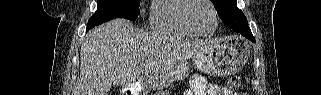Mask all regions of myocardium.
Masks as SVG:
<instances>
[{
	"mask_svg": "<svg viewBox=\"0 0 321 95\" xmlns=\"http://www.w3.org/2000/svg\"><path fill=\"white\" fill-rule=\"evenodd\" d=\"M188 6L186 7L185 9V12H184V17H185V21L188 23V25L198 34V35H201V36H211L213 35L217 28H218V14H217V11L212 3V1L210 0H188ZM197 3H205L207 4L212 12H213V18H214V27L213 29L210 31V32H203L201 31L197 26L196 24L194 23L193 19H192V16H191V12L194 8V6L197 4Z\"/></svg>",
	"mask_w": 321,
	"mask_h": 95,
	"instance_id": "myocardium-1",
	"label": "myocardium"
}]
</instances>
